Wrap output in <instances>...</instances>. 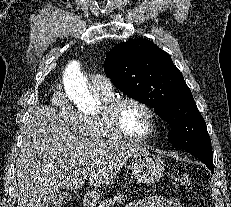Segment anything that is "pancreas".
<instances>
[{
    "label": "pancreas",
    "mask_w": 231,
    "mask_h": 207,
    "mask_svg": "<svg viewBox=\"0 0 231 207\" xmlns=\"http://www.w3.org/2000/svg\"><path fill=\"white\" fill-rule=\"evenodd\" d=\"M125 201V198L122 194L118 193L117 196L109 198L100 202L97 207H114L116 204H120Z\"/></svg>",
    "instance_id": "pancreas-1"
}]
</instances>
